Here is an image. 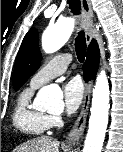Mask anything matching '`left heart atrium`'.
Listing matches in <instances>:
<instances>
[{"label":"left heart atrium","mask_w":123,"mask_h":152,"mask_svg":"<svg viewBox=\"0 0 123 152\" xmlns=\"http://www.w3.org/2000/svg\"><path fill=\"white\" fill-rule=\"evenodd\" d=\"M84 89L78 78H71L63 85V97L65 111L68 114L74 113L81 105Z\"/></svg>","instance_id":"1"}]
</instances>
